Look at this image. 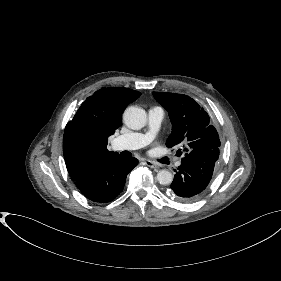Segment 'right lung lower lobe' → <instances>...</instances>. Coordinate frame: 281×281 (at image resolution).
Instances as JSON below:
<instances>
[{
  "label": "right lung lower lobe",
  "mask_w": 281,
  "mask_h": 281,
  "mask_svg": "<svg viewBox=\"0 0 281 281\" xmlns=\"http://www.w3.org/2000/svg\"><path fill=\"white\" fill-rule=\"evenodd\" d=\"M137 164L136 158L116 153L98 161L75 184L89 200L107 203L122 192L127 174Z\"/></svg>",
  "instance_id": "right-lung-lower-lobe-1"
}]
</instances>
